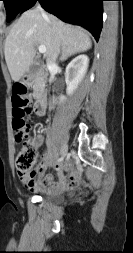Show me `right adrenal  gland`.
Segmentation results:
<instances>
[{
  "instance_id": "obj_1",
  "label": "right adrenal gland",
  "mask_w": 133,
  "mask_h": 253,
  "mask_svg": "<svg viewBox=\"0 0 133 253\" xmlns=\"http://www.w3.org/2000/svg\"><path fill=\"white\" fill-rule=\"evenodd\" d=\"M68 57H69L68 55H63V56L61 57V60H66Z\"/></svg>"
}]
</instances>
